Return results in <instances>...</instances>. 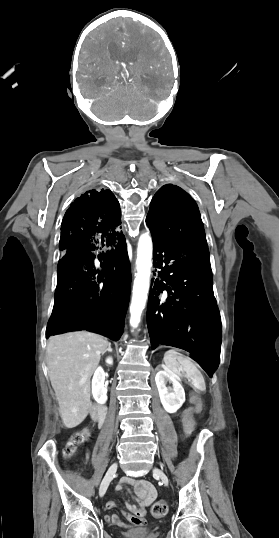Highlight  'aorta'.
<instances>
[{"label":"aorta","instance_id":"aorta-1","mask_svg":"<svg viewBox=\"0 0 279 538\" xmlns=\"http://www.w3.org/2000/svg\"><path fill=\"white\" fill-rule=\"evenodd\" d=\"M152 239L148 233H143L138 241L136 267L137 273L133 285V295L130 305V325L137 327L145 308L150 286L152 266Z\"/></svg>","mask_w":279,"mask_h":538}]
</instances>
